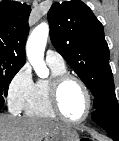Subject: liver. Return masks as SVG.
Instances as JSON below:
<instances>
[{
	"instance_id": "liver-1",
	"label": "liver",
	"mask_w": 119,
	"mask_h": 141,
	"mask_svg": "<svg viewBox=\"0 0 119 141\" xmlns=\"http://www.w3.org/2000/svg\"><path fill=\"white\" fill-rule=\"evenodd\" d=\"M64 126L48 119L0 114V141H42Z\"/></svg>"
}]
</instances>
